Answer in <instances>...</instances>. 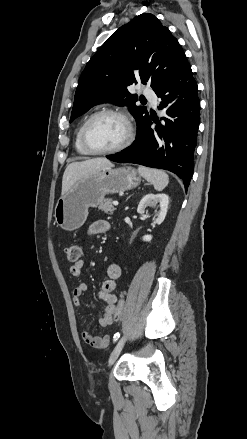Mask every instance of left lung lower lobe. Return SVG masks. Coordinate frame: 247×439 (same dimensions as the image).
<instances>
[{"label":"left lung lower lobe","mask_w":247,"mask_h":439,"mask_svg":"<svg viewBox=\"0 0 247 439\" xmlns=\"http://www.w3.org/2000/svg\"><path fill=\"white\" fill-rule=\"evenodd\" d=\"M198 86L186 60L179 70L157 91L159 109L166 116L162 123L148 116L137 128V138L127 149L107 156L118 163H136L177 174L188 188L193 175L200 103ZM152 121L156 123L151 128Z\"/></svg>","instance_id":"obj_1"}]
</instances>
